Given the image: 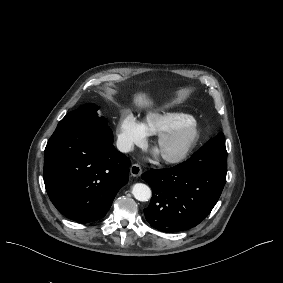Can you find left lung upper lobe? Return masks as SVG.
I'll return each instance as SVG.
<instances>
[{"mask_svg": "<svg viewBox=\"0 0 283 283\" xmlns=\"http://www.w3.org/2000/svg\"><path fill=\"white\" fill-rule=\"evenodd\" d=\"M218 141H221L223 143H225V139H224V134L223 133H219L216 137L212 138Z\"/></svg>", "mask_w": 283, "mask_h": 283, "instance_id": "left-lung-upper-lobe-1", "label": "left lung upper lobe"}]
</instances>
